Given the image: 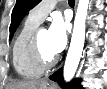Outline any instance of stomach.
Returning a JSON list of instances; mask_svg holds the SVG:
<instances>
[{
  "instance_id": "1",
  "label": "stomach",
  "mask_w": 107,
  "mask_h": 89,
  "mask_svg": "<svg viewBox=\"0 0 107 89\" xmlns=\"http://www.w3.org/2000/svg\"><path fill=\"white\" fill-rule=\"evenodd\" d=\"M43 89H56V86L51 85V84H46Z\"/></svg>"
}]
</instances>
